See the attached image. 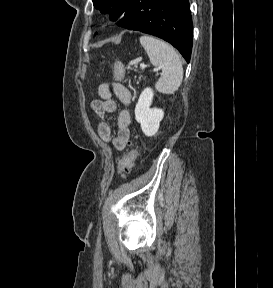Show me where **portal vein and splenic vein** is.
<instances>
[{"label":"portal vein and splenic vein","mask_w":273,"mask_h":288,"mask_svg":"<svg viewBox=\"0 0 273 288\" xmlns=\"http://www.w3.org/2000/svg\"><path fill=\"white\" fill-rule=\"evenodd\" d=\"M141 67H144L145 65L143 63L140 64ZM160 69L159 68H155L154 71L158 72Z\"/></svg>","instance_id":"1"}]
</instances>
